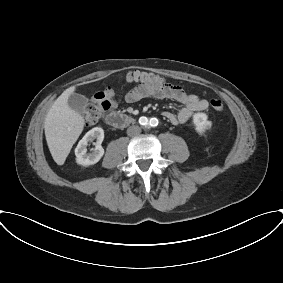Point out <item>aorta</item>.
Returning a JSON list of instances; mask_svg holds the SVG:
<instances>
[{
  "label": "aorta",
  "instance_id": "762f6f07",
  "mask_svg": "<svg viewBox=\"0 0 283 283\" xmlns=\"http://www.w3.org/2000/svg\"><path fill=\"white\" fill-rule=\"evenodd\" d=\"M148 122H149V120H148L146 117H143V118L141 119V123H142L143 125H147Z\"/></svg>",
  "mask_w": 283,
  "mask_h": 283
}]
</instances>
